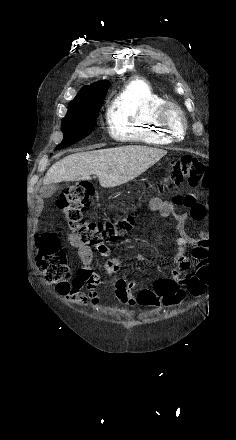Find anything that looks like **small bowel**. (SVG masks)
<instances>
[{"label":"small bowel","instance_id":"obj_1","mask_svg":"<svg viewBox=\"0 0 236 440\" xmlns=\"http://www.w3.org/2000/svg\"><path fill=\"white\" fill-rule=\"evenodd\" d=\"M177 207L186 208L189 212H177ZM149 209L158 213L161 217L173 216L176 220V229L178 232L175 253L167 262L159 265L157 271H169L172 280L178 287H188L192 279L202 278V271L199 270L200 264L197 262L198 256L196 251L193 260L186 255L188 248L195 247L197 238L186 231L185 224L188 218L202 220L205 210L198 204L196 196L191 193L174 196L171 200H162L158 197L153 198L149 203ZM63 243L75 248L83 263V267L78 270L73 280L71 290L67 295V298L72 303L96 307L99 304V296L96 292V288L101 283L103 277H108L114 282L115 294L121 303L127 306H133L136 303L140 304V295L144 290L136 294V284L120 275V263L117 259L109 257L110 250L107 246L99 245L95 247V251L99 255L107 258V260L103 269L93 271L91 265L94 255L91 247L70 234L65 236ZM137 260L142 261L143 259L138 257ZM84 288L87 289V293L82 291ZM160 305H162L160 299L145 304V306L149 307H157Z\"/></svg>","mask_w":236,"mask_h":440}]
</instances>
